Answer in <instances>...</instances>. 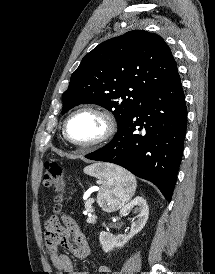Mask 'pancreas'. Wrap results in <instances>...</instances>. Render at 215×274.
<instances>
[{"instance_id":"1","label":"pancreas","mask_w":215,"mask_h":274,"mask_svg":"<svg viewBox=\"0 0 215 274\" xmlns=\"http://www.w3.org/2000/svg\"><path fill=\"white\" fill-rule=\"evenodd\" d=\"M93 202H94L93 199H90V200H88V201L86 202L85 208H86L88 211L92 209L91 204H92ZM89 222L92 223V222H93V219H89Z\"/></svg>"}]
</instances>
